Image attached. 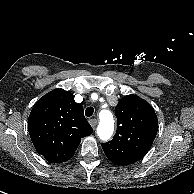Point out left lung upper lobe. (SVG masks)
Instances as JSON below:
<instances>
[{"label":"left lung upper lobe","mask_w":194,"mask_h":194,"mask_svg":"<svg viewBox=\"0 0 194 194\" xmlns=\"http://www.w3.org/2000/svg\"><path fill=\"white\" fill-rule=\"evenodd\" d=\"M117 131L114 138L102 144L108 159L117 165H129L142 159L158 131L153 107L136 95L121 98L115 108Z\"/></svg>","instance_id":"left-lung-upper-lobe-1"}]
</instances>
